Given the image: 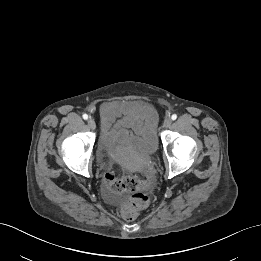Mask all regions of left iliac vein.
<instances>
[{
    "label": "left iliac vein",
    "mask_w": 261,
    "mask_h": 261,
    "mask_svg": "<svg viewBox=\"0 0 261 261\" xmlns=\"http://www.w3.org/2000/svg\"><path fill=\"white\" fill-rule=\"evenodd\" d=\"M171 124H172L171 118L167 117V118L164 120L163 126H164L165 128H168V127L171 126Z\"/></svg>",
    "instance_id": "left-iliac-vein-1"
}]
</instances>
